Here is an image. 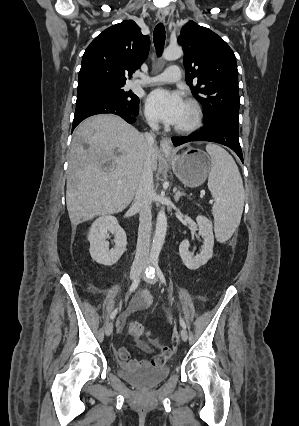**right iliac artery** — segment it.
I'll use <instances>...</instances> for the list:
<instances>
[{
    "mask_svg": "<svg viewBox=\"0 0 299 426\" xmlns=\"http://www.w3.org/2000/svg\"><path fill=\"white\" fill-rule=\"evenodd\" d=\"M140 283V278H137L134 280V282L132 283L130 289H129V293L131 294L132 292H134L136 290V288L138 287ZM118 312V308H116L110 315V319H114V317L116 316Z\"/></svg>",
    "mask_w": 299,
    "mask_h": 426,
    "instance_id": "82829eb1",
    "label": "right iliac artery"
}]
</instances>
